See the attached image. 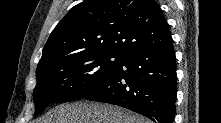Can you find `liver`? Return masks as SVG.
Returning a JSON list of instances; mask_svg holds the SVG:
<instances>
[{"label": "liver", "mask_w": 221, "mask_h": 123, "mask_svg": "<svg viewBox=\"0 0 221 123\" xmlns=\"http://www.w3.org/2000/svg\"><path fill=\"white\" fill-rule=\"evenodd\" d=\"M42 123H150L118 106L78 101L56 106Z\"/></svg>", "instance_id": "6515ba94"}]
</instances>
